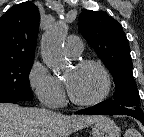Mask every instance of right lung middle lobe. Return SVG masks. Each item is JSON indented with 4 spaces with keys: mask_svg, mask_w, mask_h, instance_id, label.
<instances>
[{
    "mask_svg": "<svg viewBox=\"0 0 144 137\" xmlns=\"http://www.w3.org/2000/svg\"><path fill=\"white\" fill-rule=\"evenodd\" d=\"M34 57L0 62V100H32L29 73Z\"/></svg>",
    "mask_w": 144,
    "mask_h": 137,
    "instance_id": "dd1d6c3e",
    "label": "right lung middle lobe"
}]
</instances>
